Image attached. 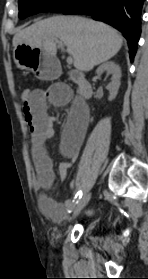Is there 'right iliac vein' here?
I'll list each match as a JSON object with an SVG mask.
<instances>
[{
  "label": "right iliac vein",
  "mask_w": 148,
  "mask_h": 279,
  "mask_svg": "<svg viewBox=\"0 0 148 279\" xmlns=\"http://www.w3.org/2000/svg\"><path fill=\"white\" fill-rule=\"evenodd\" d=\"M90 196H91V193L87 192L78 201L77 205L74 207L72 219H74L80 213V211L87 205V203L89 202Z\"/></svg>",
  "instance_id": "1"
}]
</instances>
